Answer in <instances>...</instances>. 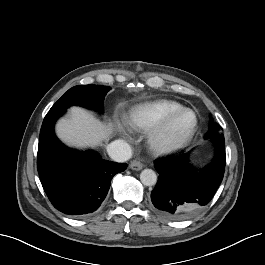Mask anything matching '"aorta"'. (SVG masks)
<instances>
[{
    "mask_svg": "<svg viewBox=\"0 0 265 265\" xmlns=\"http://www.w3.org/2000/svg\"><path fill=\"white\" fill-rule=\"evenodd\" d=\"M140 180L145 186H153L157 182V175L152 169H144L140 173Z\"/></svg>",
    "mask_w": 265,
    "mask_h": 265,
    "instance_id": "aorta-1",
    "label": "aorta"
}]
</instances>
